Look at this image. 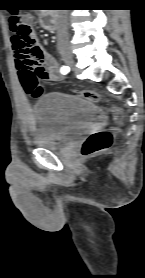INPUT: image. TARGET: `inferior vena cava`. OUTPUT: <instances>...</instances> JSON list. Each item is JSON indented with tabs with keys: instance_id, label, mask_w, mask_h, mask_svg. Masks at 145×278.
I'll return each instance as SVG.
<instances>
[{
	"instance_id": "1",
	"label": "inferior vena cava",
	"mask_w": 145,
	"mask_h": 278,
	"mask_svg": "<svg viewBox=\"0 0 145 278\" xmlns=\"http://www.w3.org/2000/svg\"><path fill=\"white\" fill-rule=\"evenodd\" d=\"M57 41L59 44L67 43L68 41L67 21L63 11H60L58 18Z\"/></svg>"
}]
</instances>
